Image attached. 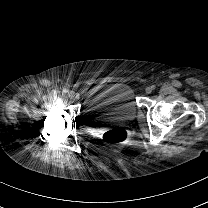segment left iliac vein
Segmentation results:
<instances>
[{
    "label": "left iliac vein",
    "mask_w": 208,
    "mask_h": 208,
    "mask_svg": "<svg viewBox=\"0 0 208 208\" xmlns=\"http://www.w3.org/2000/svg\"><path fill=\"white\" fill-rule=\"evenodd\" d=\"M145 91H146L147 94H150L152 92V88L151 87H147Z\"/></svg>",
    "instance_id": "1"
}]
</instances>
